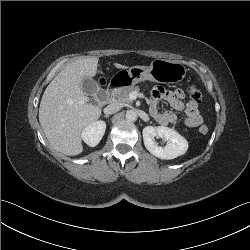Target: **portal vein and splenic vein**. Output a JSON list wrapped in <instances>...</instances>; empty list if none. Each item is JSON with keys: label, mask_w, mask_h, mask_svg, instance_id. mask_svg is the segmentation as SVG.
Masks as SVG:
<instances>
[{"label": "portal vein and splenic vein", "mask_w": 250, "mask_h": 250, "mask_svg": "<svg viewBox=\"0 0 250 250\" xmlns=\"http://www.w3.org/2000/svg\"><path fill=\"white\" fill-rule=\"evenodd\" d=\"M129 97H130V99H132V100L136 99V97H137L136 92H132V93L130 94Z\"/></svg>", "instance_id": "1"}]
</instances>
